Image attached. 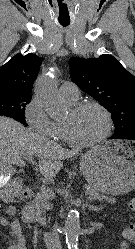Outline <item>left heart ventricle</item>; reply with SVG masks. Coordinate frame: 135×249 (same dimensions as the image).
Instances as JSON below:
<instances>
[{
  "label": "left heart ventricle",
  "instance_id": "1",
  "mask_svg": "<svg viewBox=\"0 0 135 249\" xmlns=\"http://www.w3.org/2000/svg\"><path fill=\"white\" fill-rule=\"evenodd\" d=\"M73 135L80 140H93L100 137L106 130V120L103 113L95 108L88 107L79 113L69 111L64 119Z\"/></svg>",
  "mask_w": 135,
  "mask_h": 249
}]
</instances>
